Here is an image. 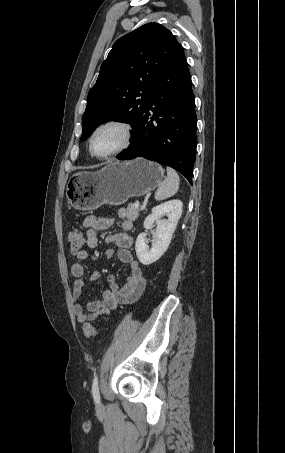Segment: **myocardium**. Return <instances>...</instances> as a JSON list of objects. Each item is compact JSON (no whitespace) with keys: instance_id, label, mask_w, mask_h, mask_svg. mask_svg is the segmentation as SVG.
I'll list each match as a JSON object with an SVG mask.
<instances>
[{"instance_id":"myocardium-1","label":"myocardium","mask_w":285,"mask_h":453,"mask_svg":"<svg viewBox=\"0 0 285 453\" xmlns=\"http://www.w3.org/2000/svg\"><path fill=\"white\" fill-rule=\"evenodd\" d=\"M106 127H117L119 129H121V131L123 132V135H124V139H123L122 144L117 149H115L112 152L105 154V155H98L93 150V140H94L96 134L100 130H102ZM133 139H134V130H133V126L129 122L122 120V119H109V120H106V121L100 123L91 133L90 138H89V151H90L91 155L94 156L95 158L109 159V158L115 157V156L121 154L122 152L126 151L132 145Z\"/></svg>"}]
</instances>
